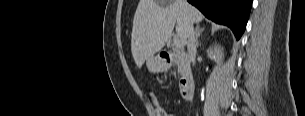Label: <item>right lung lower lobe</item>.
Listing matches in <instances>:
<instances>
[{
    "mask_svg": "<svg viewBox=\"0 0 305 116\" xmlns=\"http://www.w3.org/2000/svg\"><path fill=\"white\" fill-rule=\"evenodd\" d=\"M207 18L230 27L238 40L248 21L252 0H188Z\"/></svg>",
    "mask_w": 305,
    "mask_h": 116,
    "instance_id": "1",
    "label": "right lung lower lobe"
}]
</instances>
